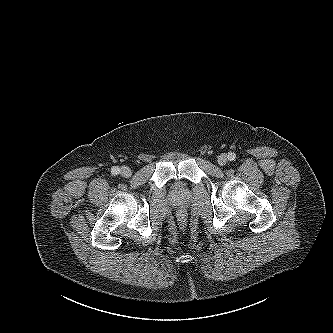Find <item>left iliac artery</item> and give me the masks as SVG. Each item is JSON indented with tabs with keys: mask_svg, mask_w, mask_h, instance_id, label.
<instances>
[{
	"mask_svg": "<svg viewBox=\"0 0 333 333\" xmlns=\"http://www.w3.org/2000/svg\"><path fill=\"white\" fill-rule=\"evenodd\" d=\"M235 158H236V155H235L234 153H229V154H228V159H229L230 161L235 160Z\"/></svg>",
	"mask_w": 333,
	"mask_h": 333,
	"instance_id": "44dca946",
	"label": "left iliac artery"
}]
</instances>
